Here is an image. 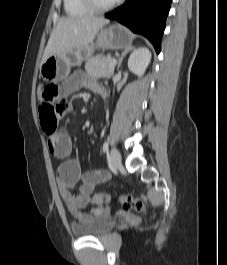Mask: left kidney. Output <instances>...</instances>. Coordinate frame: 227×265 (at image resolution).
I'll use <instances>...</instances> for the list:
<instances>
[{
  "mask_svg": "<svg viewBox=\"0 0 227 265\" xmlns=\"http://www.w3.org/2000/svg\"><path fill=\"white\" fill-rule=\"evenodd\" d=\"M151 60V52L146 47L133 51L128 59L129 70L138 77L143 76Z\"/></svg>",
  "mask_w": 227,
  "mask_h": 265,
  "instance_id": "left-kidney-1",
  "label": "left kidney"
}]
</instances>
